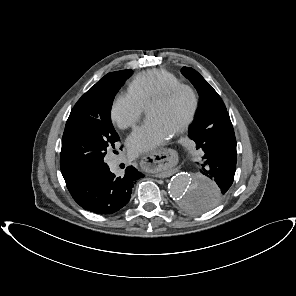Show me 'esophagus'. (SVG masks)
<instances>
[{
    "mask_svg": "<svg viewBox=\"0 0 296 296\" xmlns=\"http://www.w3.org/2000/svg\"><path fill=\"white\" fill-rule=\"evenodd\" d=\"M184 157L180 147L171 145L157 150L149 155L142 156L138 161L139 168L144 172H150L154 175H166L172 166L182 162Z\"/></svg>",
    "mask_w": 296,
    "mask_h": 296,
    "instance_id": "1",
    "label": "esophagus"
}]
</instances>
